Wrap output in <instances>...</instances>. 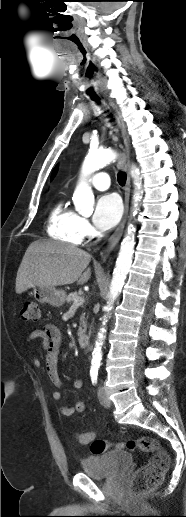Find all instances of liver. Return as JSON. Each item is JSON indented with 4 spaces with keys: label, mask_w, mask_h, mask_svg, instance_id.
<instances>
[{
    "label": "liver",
    "mask_w": 186,
    "mask_h": 517,
    "mask_svg": "<svg viewBox=\"0 0 186 517\" xmlns=\"http://www.w3.org/2000/svg\"><path fill=\"white\" fill-rule=\"evenodd\" d=\"M91 255L70 244L35 241L29 245L16 277V293L32 287H55L74 282L81 285L91 276Z\"/></svg>",
    "instance_id": "1"
}]
</instances>
